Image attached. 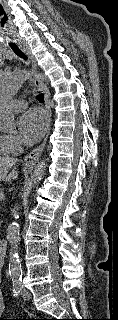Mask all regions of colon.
I'll use <instances>...</instances> for the list:
<instances>
[{
  "instance_id": "obj_1",
  "label": "colon",
  "mask_w": 118,
  "mask_h": 320,
  "mask_svg": "<svg viewBox=\"0 0 118 320\" xmlns=\"http://www.w3.org/2000/svg\"><path fill=\"white\" fill-rule=\"evenodd\" d=\"M0 320H7V319H1ZM28 320H40V319H28Z\"/></svg>"
}]
</instances>
